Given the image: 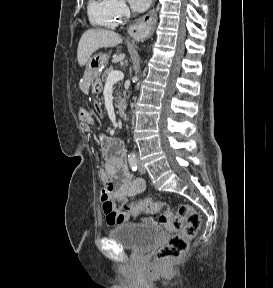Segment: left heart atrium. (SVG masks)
I'll return each mask as SVG.
<instances>
[{
	"mask_svg": "<svg viewBox=\"0 0 273 288\" xmlns=\"http://www.w3.org/2000/svg\"><path fill=\"white\" fill-rule=\"evenodd\" d=\"M152 0H129L131 7L138 12L144 11L150 5Z\"/></svg>",
	"mask_w": 273,
	"mask_h": 288,
	"instance_id": "39dd6f15",
	"label": "left heart atrium"
}]
</instances>
